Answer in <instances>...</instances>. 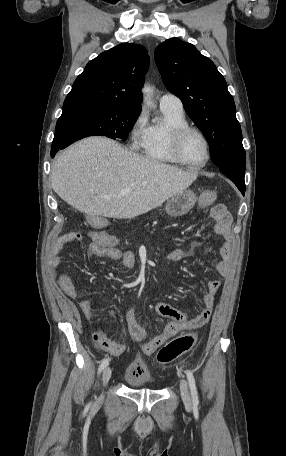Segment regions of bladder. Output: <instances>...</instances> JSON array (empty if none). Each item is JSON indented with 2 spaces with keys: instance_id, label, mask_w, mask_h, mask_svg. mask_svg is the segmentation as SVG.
Returning <instances> with one entry per match:
<instances>
[{
  "instance_id": "1",
  "label": "bladder",
  "mask_w": 286,
  "mask_h": 456,
  "mask_svg": "<svg viewBox=\"0 0 286 456\" xmlns=\"http://www.w3.org/2000/svg\"><path fill=\"white\" fill-rule=\"evenodd\" d=\"M124 380L129 388H149L151 376L144 363L132 362L126 369Z\"/></svg>"
}]
</instances>
